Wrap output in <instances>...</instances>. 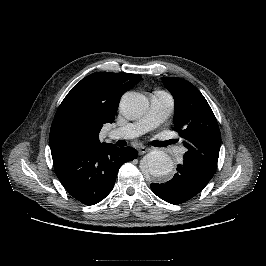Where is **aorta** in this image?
<instances>
[{
	"mask_svg": "<svg viewBox=\"0 0 266 266\" xmlns=\"http://www.w3.org/2000/svg\"><path fill=\"white\" fill-rule=\"evenodd\" d=\"M149 106L148 99L136 92L125 93L120 101V108L124 115L130 118L142 116ZM173 161L162 150H153L147 154L141 165L142 171L153 177H163L173 170Z\"/></svg>",
	"mask_w": 266,
	"mask_h": 266,
	"instance_id": "obj_1",
	"label": "aorta"
}]
</instances>
